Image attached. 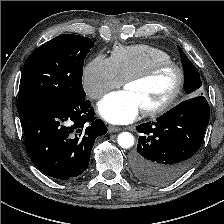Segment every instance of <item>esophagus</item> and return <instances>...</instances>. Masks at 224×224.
<instances>
[{
    "label": "esophagus",
    "mask_w": 224,
    "mask_h": 224,
    "mask_svg": "<svg viewBox=\"0 0 224 224\" xmlns=\"http://www.w3.org/2000/svg\"><path fill=\"white\" fill-rule=\"evenodd\" d=\"M120 130H121V128H119V127H115V126H109L108 127V132L109 133L119 132Z\"/></svg>",
    "instance_id": "34e87169"
}]
</instances>
